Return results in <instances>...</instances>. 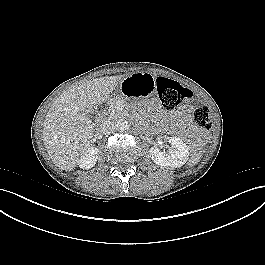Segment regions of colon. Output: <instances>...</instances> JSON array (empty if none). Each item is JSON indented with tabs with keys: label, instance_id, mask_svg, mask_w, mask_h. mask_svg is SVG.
Segmentation results:
<instances>
[{
	"label": "colon",
	"instance_id": "5ec220e1",
	"mask_svg": "<svg viewBox=\"0 0 265 265\" xmlns=\"http://www.w3.org/2000/svg\"><path fill=\"white\" fill-rule=\"evenodd\" d=\"M156 88L164 109L171 111L181 104L192 100V92L175 80L159 77L156 80ZM195 123L204 130L211 128L209 110L205 106H200L193 113Z\"/></svg>",
	"mask_w": 265,
	"mask_h": 265
}]
</instances>
